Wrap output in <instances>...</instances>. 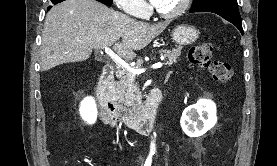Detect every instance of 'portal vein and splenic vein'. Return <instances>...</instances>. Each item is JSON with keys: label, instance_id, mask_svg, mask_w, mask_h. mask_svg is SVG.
I'll use <instances>...</instances> for the list:
<instances>
[{"label": "portal vein and splenic vein", "instance_id": "portal-vein-and-splenic-vein-1", "mask_svg": "<svg viewBox=\"0 0 277 166\" xmlns=\"http://www.w3.org/2000/svg\"><path fill=\"white\" fill-rule=\"evenodd\" d=\"M105 53L117 64L119 67H123L130 71L133 75L142 73L143 69H134L128 63H126L123 59H121L116 53H114L109 47H105ZM162 63H156L152 66V68L157 69L162 67Z\"/></svg>", "mask_w": 277, "mask_h": 166}]
</instances>
